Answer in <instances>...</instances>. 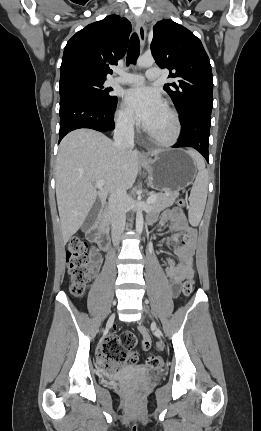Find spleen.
<instances>
[{"instance_id":"3e777b00","label":"spleen","mask_w":261,"mask_h":431,"mask_svg":"<svg viewBox=\"0 0 261 431\" xmlns=\"http://www.w3.org/2000/svg\"><path fill=\"white\" fill-rule=\"evenodd\" d=\"M187 153L196 162L198 173L190 194V211L195 216L201 217L207 199L208 193V173L205 168L204 159L195 151L188 150Z\"/></svg>"}]
</instances>
